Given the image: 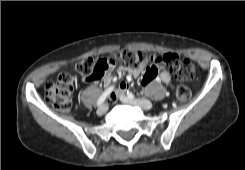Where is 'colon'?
Instances as JSON below:
<instances>
[{
  "mask_svg": "<svg viewBox=\"0 0 245 170\" xmlns=\"http://www.w3.org/2000/svg\"><path fill=\"white\" fill-rule=\"evenodd\" d=\"M121 63L125 68L136 70L141 67H157L164 65L175 69V76L181 81H189L194 77V67L190 62L180 61L175 53L164 55L146 54L141 51L124 50L119 54L100 59L96 62L85 59L79 62L76 70L89 81L102 78L107 71ZM151 73V69H147ZM74 77L62 74L45 85V99L56 110L69 112L72 108L71 94L73 91ZM190 90L186 86L178 88V98L187 100Z\"/></svg>",
  "mask_w": 245,
  "mask_h": 170,
  "instance_id": "1",
  "label": "colon"
}]
</instances>
